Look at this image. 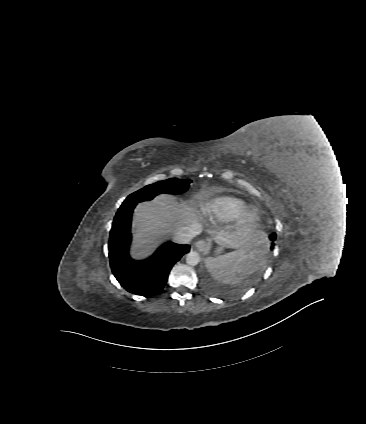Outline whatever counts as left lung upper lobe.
Wrapping results in <instances>:
<instances>
[{
    "mask_svg": "<svg viewBox=\"0 0 366 424\" xmlns=\"http://www.w3.org/2000/svg\"><path fill=\"white\" fill-rule=\"evenodd\" d=\"M275 238H276V234H275V233H273V234L270 236V239H271L272 241H274V240H275ZM273 246H274V244L272 243L271 249H273Z\"/></svg>",
    "mask_w": 366,
    "mask_h": 424,
    "instance_id": "1",
    "label": "left lung upper lobe"
}]
</instances>
